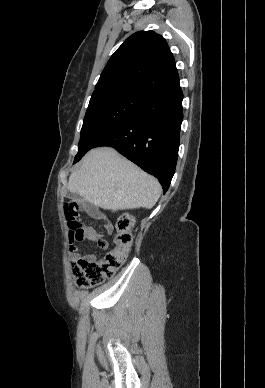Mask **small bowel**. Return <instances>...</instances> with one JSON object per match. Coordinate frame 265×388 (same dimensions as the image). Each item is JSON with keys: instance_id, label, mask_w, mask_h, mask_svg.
Instances as JSON below:
<instances>
[{"instance_id": "small-bowel-1", "label": "small bowel", "mask_w": 265, "mask_h": 388, "mask_svg": "<svg viewBox=\"0 0 265 388\" xmlns=\"http://www.w3.org/2000/svg\"><path fill=\"white\" fill-rule=\"evenodd\" d=\"M87 213L91 217L103 221L104 228L108 233L113 231V225H112L111 221L105 215H103L98 209L92 208V207L88 208ZM88 233L89 234H88L87 239H89L91 241H95L101 249L107 248V242L105 241V239L103 238L102 235H100L95 230L90 229V228H88ZM72 253H73L72 256L74 259L82 257V258H85L87 260L95 261V256L93 254H87L84 256H80L75 247H72Z\"/></svg>"}]
</instances>
